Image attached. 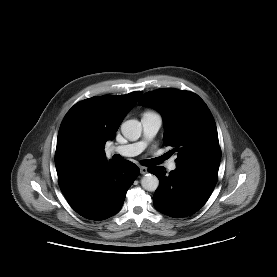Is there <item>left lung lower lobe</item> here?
I'll return each instance as SVG.
<instances>
[{"mask_svg": "<svg viewBox=\"0 0 277 277\" xmlns=\"http://www.w3.org/2000/svg\"><path fill=\"white\" fill-rule=\"evenodd\" d=\"M219 166L198 164L176 167L166 174L164 167H153L160 185L153 196V203L161 213L181 218L197 212L209 199L217 182Z\"/></svg>", "mask_w": 277, "mask_h": 277, "instance_id": "obj_1", "label": "left lung lower lobe"}]
</instances>
